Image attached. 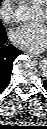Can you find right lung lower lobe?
<instances>
[{"label":"right lung lower lobe","mask_w":47,"mask_h":129,"mask_svg":"<svg viewBox=\"0 0 47 129\" xmlns=\"http://www.w3.org/2000/svg\"><path fill=\"white\" fill-rule=\"evenodd\" d=\"M7 40L6 34L0 35V93L8 85L12 73L13 61L23 52L12 45H3Z\"/></svg>","instance_id":"98d812e1"}]
</instances>
